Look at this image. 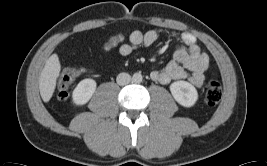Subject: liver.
I'll list each match as a JSON object with an SVG mask.
<instances>
[{"mask_svg":"<svg viewBox=\"0 0 267 166\" xmlns=\"http://www.w3.org/2000/svg\"><path fill=\"white\" fill-rule=\"evenodd\" d=\"M60 71L61 64L58 55L54 53L46 61L39 77V90L44 102H48L51 99Z\"/></svg>","mask_w":267,"mask_h":166,"instance_id":"6515ba94","label":"liver"}]
</instances>
